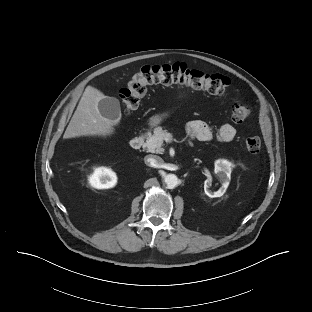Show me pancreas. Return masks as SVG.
Segmentation results:
<instances>
[{
  "label": "pancreas",
  "instance_id": "pancreas-1",
  "mask_svg": "<svg viewBox=\"0 0 312 312\" xmlns=\"http://www.w3.org/2000/svg\"><path fill=\"white\" fill-rule=\"evenodd\" d=\"M167 134V130H163L161 127L154 129V134H149L144 147L148 152L162 154L164 152L163 142Z\"/></svg>",
  "mask_w": 312,
  "mask_h": 312
}]
</instances>
